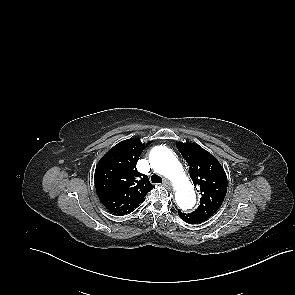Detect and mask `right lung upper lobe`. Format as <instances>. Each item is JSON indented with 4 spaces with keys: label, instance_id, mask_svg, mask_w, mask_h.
I'll use <instances>...</instances> for the list:
<instances>
[{
    "label": "right lung upper lobe",
    "instance_id": "right-lung-upper-lobe-1",
    "mask_svg": "<svg viewBox=\"0 0 295 295\" xmlns=\"http://www.w3.org/2000/svg\"><path fill=\"white\" fill-rule=\"evenodd\" d=\"M145 148L146 145L136 138L124 140L109 150L96 167L97 195L115 214L132 212L154 188L148 177L136 170L138 157Z\"/></svg>",
    "mask_w": 295,
    "mask_h": 295
}]
</instances>
